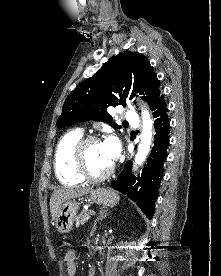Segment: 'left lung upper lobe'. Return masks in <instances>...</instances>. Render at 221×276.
<instances>
[{"mask_svg":"<svg viewBox=\"0 0 221 276\" xmlns=\"http://www.w3.org/2000/svg\"><path fill=\"white\" fill-rule=\"evenodd\" d=\"M160 82L147 58L138 52L126 51L111 57L96 74L80 83L67 97L58 127L95 120L108 123L115 129L121 126L112 122L109 106H126V99L134 93L153 107L161 95Z\"/></svg>","mask_w":221,"mask_h":276,"instance_id":"obj_1","label":"left lung upper lobe"}]
</instances>
